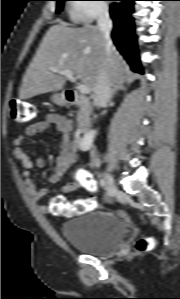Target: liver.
Listing matches in <instances>:
<instances>
[{"label": "liver", "mask_w": 180, "mask_h": 299, "mask_svg": "<svg viewBox=\"0 0 180 299\" xmlns=\"http://www.w3.org/2000/svg\"><path fill=\"white\" fill-rule=\"evenodd\" d=\"M71 71L94 93L99 73L106 67L113 86L122 83L127 69L122 56L112 45L107 47L98 27H69L64 22L53 25L43 37L39 48L23 76L21 99L64 89L66 77L50 70Z\"/></svg>", "instance_id": "6515ba94"}]
</instances>
